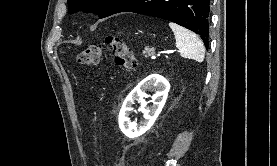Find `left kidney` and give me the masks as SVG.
Masks as SVG:
<instances>
[{"label": "left kidney", "instance_id": "1", "mask_svg": "<svg viewBox=\"0 0 277 166\" xmlns=\"http://www.w3.org/2000/svg\"><path fill=\"white\" fill-rule=\"evenodd\" d=\"M169 89V82L161 75L152 74L143 79L126 97L119 112L118 123L122 133L129 138H136L148 131L162 111ZM147 90L155 92L153 105L149 108H146L147 103L144 100ZM135 101L142 103L140 111L143 113L144 121L140 124L131 121L129 117Z\"/></svg>", "mask_w": 277, "mask_h": 166}]
</instances>
